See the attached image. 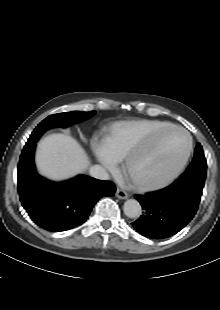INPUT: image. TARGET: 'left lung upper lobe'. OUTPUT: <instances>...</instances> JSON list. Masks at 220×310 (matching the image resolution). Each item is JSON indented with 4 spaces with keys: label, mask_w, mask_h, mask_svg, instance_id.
<instances>
[{
    "label": "left lung upper lobe",
    "mask_w": 220,
    "mask_h": 310,
    "mask_svg": "<svg viewBox=\"0 0 220 310\" xmlns=\"http://www.w3.org/2000/svg\"><path fill=\"white\" fill-rule=\"evenodd\" d=\"M207 172V163L203 153V148L197 144L194 158L186 171L179 177L180 180H198L205 181Z\"/></svg>",
    "instance_id": "left-lung-upper-lobe-1"
}]
</instances>
